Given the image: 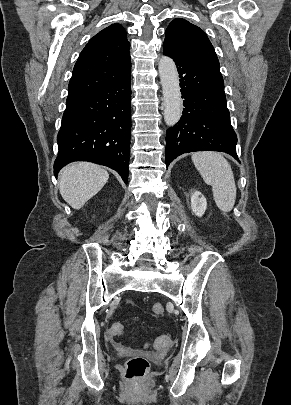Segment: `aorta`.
<instances>
[{
    "mask_svg": "<svg viewBox=\"0 0 291 405\" xmlns=\"http://www.w3.org/2000/svg\"><path fill=\"white\" fill-rule=\"evenodd\" d=\"M159 76L164 98V121L174 126L182 114V98L176 65L168 56H162L159 64Z\"/></svg>",
    "mask_w": 291,
    "mask_h": 405,
    "instance_id": "762f6f07",
    "label": "aorta"
}]
</instances>
